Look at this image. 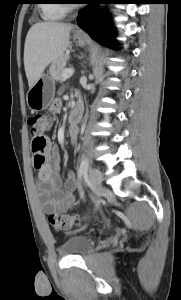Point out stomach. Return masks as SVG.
Masks as SVG:
<instances>
[{
    "label": "stomach",
    "mask_w": 181,
    "mask_h": 300,
    "mask_svg": "<svg viewBox=\"0 0 181 300\" xmlns=\"http://www.w3.org/2000/svg\"><path fill=\"white\" fill-rule=\"evenodd\" d=\"M74 41L79 46H84L86 39L82 35L74 34ZM55 93L54 80L49 75L42 77L29 89L27 93V104L33 111H41L49 107L53 101Z\"/></svg>",
    "instance_id": "0dacf381"
}]
</instances>
